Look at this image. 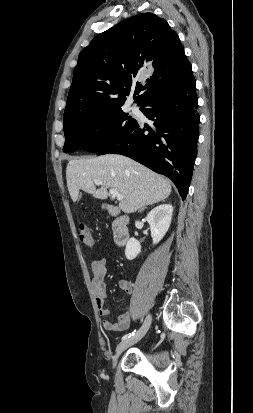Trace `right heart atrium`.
Segmentation results:
<instances>
[{
  "label": "right heart atrium",
  "mask_w": 253,
  "mask_h": 413,
  "mask_svg": "<svg viewBox=\"0 0 253 413\" xmlns=\"http://www.w3.org/2000/svg\"><path fill=\"white\" fill-rule=\"evenodd\" d=\"M94 131L99 136H105L109 131V124L106 121L98 122L94 127Z\"/></svg>",
  "instance_id": "obj_1"
}]
</instances>
